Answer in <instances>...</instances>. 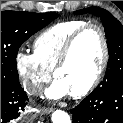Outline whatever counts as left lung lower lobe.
<instances>
[{"label": "left lung lower lobe", "mask_w": 123, "mask_h": 123, "mask_svg": "<svg viewBox=\"0 0 123 123\" xmlns=\"http://www.w3.org/2000/svg\"><path fill=\"white\" fill-rule=\"evenodd\" d=\"M70 112L73 123H123V82L96 88Z\"/></svg>", "instance_id": "left-lung-lower-lobe-1"}]
</instances>
